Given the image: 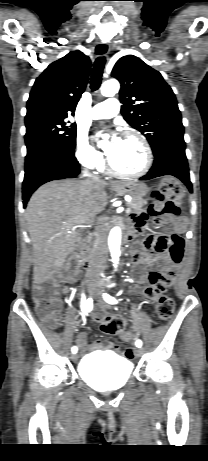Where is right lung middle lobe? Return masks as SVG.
Returning a JSON list of instances; mask_svg holds the SVG:
<instances>
[{"mask_svg": "<svg viewBox=\"0 0 208 461\" xmlns=\"http://www.w3.org/2000/svg\"><path fill=\"white\" fill-rule=\"evenodd\" d=\"M66 118L26 116V158L45 148H56L74 154L77 128L75 124L68 125Z\"/></svg>", "mask_w": 208, "mask_h": 461, "instance_id": "dd1d6c3e", "label": "right lung middle lobe"}]
</instances>
